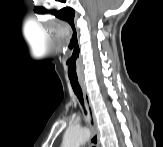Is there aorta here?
Masks as SVG:
<instances>
[{
  "mask_svg": "<svg viewBox=\"0 0 163 147\" xmlns=\"http://www.w3.org/2000/svg\"><path fill=\"white\" fill-rule=\"evenodd\" d=\"M90 137V131L84 127H69L63 137V147H80Z\"/></svg>",
  "mask_w": 163,
  "mask_h": 147,
  "instance_id": "1",
  "label": "aorta"
}]
</instances>
